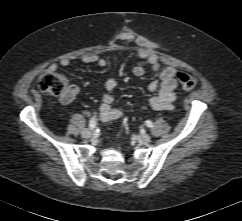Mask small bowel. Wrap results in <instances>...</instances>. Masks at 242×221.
I'll return each mask as SVG.
<instances>
[{
    "label": "small bowel",
    "mask_w": 242,
    "mask_h": 221,
    "mask_svg": "<svg viewBox=\"0 0 242 221\" xmlns=\"http://www.w3.org/2000/svg\"><path fill=\"white\" fill-rule=\"evenodd\" d=\"M118 47L121 49H132L136 52L139 58L145 60V65L138 64L134 66V75L143 76L149 70L159 72V80L150 82L148 86V89L151 92H156V94L148 98L147 104L154 110H173L174 101L176 99L175 89L177 87V82L175 79V74L177 69L174 67L163 68L159 57L150 48L148 42L143 37L136 35H123L118 40ZM81 60L87 65L97 64L100 67H104L107 64L104 58H101L96 54L84 55ZM69 65L70 60L64 58L58 63L51 64L49 69L56 71L59 66L68 67ZM117 87L118 81L115 78H111L105 83L106 93L104 94L102 103L100 105V119L102 121H113L123 116V111L121 109L113 107L114 97L111 92H113ZM69 92L70 100L78 92V89L72 86Z\"/></svg>",
    "instance_id": "c3829d8e"
}]
</instances>
